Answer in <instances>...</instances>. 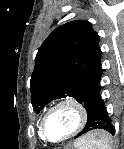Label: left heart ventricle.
<instances>
[{
    "label": "left heart ventricle",
    "mask_w": 124,
    "mask_h": 149,
    "mask_svg": "<svg viewBox=\"0 0 124 149\" xmlns=\"http://www.w3.org/2000/svg\"><path fill=\"white\" fill-rule=\"evenodd\" d=\"M76 125L72 109L61 108L52 113L46 122V134L51 140H59L70 133Z\"/></svg>",
    "instance_id": "1"
}]
</instances>
